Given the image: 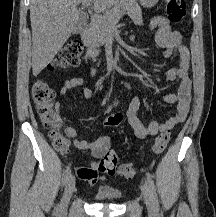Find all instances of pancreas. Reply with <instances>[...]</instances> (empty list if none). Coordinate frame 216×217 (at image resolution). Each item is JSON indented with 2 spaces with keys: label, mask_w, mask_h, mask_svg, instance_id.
<instances>
[{
  "label": "pancreas",
  "mask_w": 216,
  "mask_h": 217,
  "mask_svg": "<svg viewBox=\"0 0 216 217\" xmlns=\"http://www.w3.org/2000/svg\"><path fill=\"white\" fill-rule=\"evenodd\" d=\"M124 12H127L135 24H143L142 11L136 0H121L110 11L89 24L85 35V44L90 51L98 55L97 48L105 43L109 30L115 26L118 20V14L121 15Z\"/></svg>",
  "instance_id": "1"
}]
</instances>
